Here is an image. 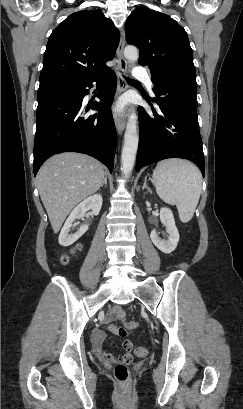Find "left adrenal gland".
Listing matches in <instances>:
<instances>
[{"instance_id": "a2214340", "label": "left adrenal gland", "mask_w": 243, "mask_h": 409, "mask_svg": "<svg viewBox=\"0 0 243 409\" xmlns=\"http://www.w3.org/2000/svg\"><path fill=\"white\" fill-rule=\"evenodd\" d=\"M147 189L148 192L151 193V189L149 188V186L147 185V177H145L144 179V184L142 186V190Z\"/></svg>"}]
</instances>
